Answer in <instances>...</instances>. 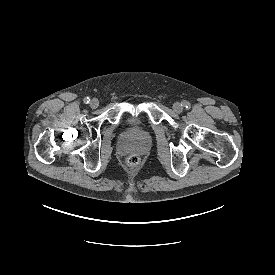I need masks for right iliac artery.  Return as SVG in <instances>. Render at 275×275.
I'll use <instances>...</instances> for the list:
<instances>
[{
  "label": "right iliac artery",
  "mask_w": 275,
  "mask_h": 275,
  "mask_svg": "<svg viewBox=\"0 0 275 275\" xmlns=\"http://www.w3.org/2000/svg\"><path fill=\"white\" fill-rule=\"evenodd\" d=\"M89 102H90V99H89L88 97H86V98L84 99V103L88 104Z\"/></svg>",
  "instance_id": "82829eb1"
}]
</instances>
